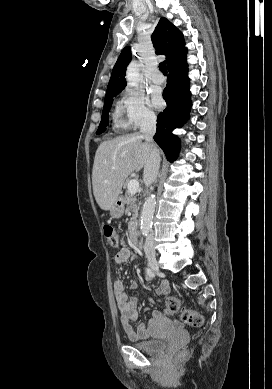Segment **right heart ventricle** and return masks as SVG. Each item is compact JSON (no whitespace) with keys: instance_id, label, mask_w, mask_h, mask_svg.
I'll use <instances>...</instances> for the list:
<instances>
[{"instance_id":"right-heart-ventricle-1","label":"right heart ventricle","mask_w":272,"mask_h":389,"mask_svg":"<svg viewBox=\"0 0 272 389\" xmlns=\"http://www.w3.org/2000/svg\"><path fill=\"white\" fill-rule=\"evenodd\" d=\"M115 126L118 129H125L127 127L126 123L120 119V111L116 110L114 113Z\"/></svg>"}]
</instances>
